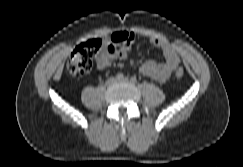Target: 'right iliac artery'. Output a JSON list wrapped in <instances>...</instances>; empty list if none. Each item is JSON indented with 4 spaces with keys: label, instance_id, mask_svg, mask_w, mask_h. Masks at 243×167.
<instances>
[{
    "label": "right iliac artery",
    "instance_id": "right-iliac-artery-1",
    "mask_svg": "<svg viewBox=\"0 0 243 167\" xmlns=\"http://www.w3.org/2000/svg\"><path fill=\"white\" fill-rule=\"evenodd\" d=\"M116 78L119 79V80H121V79L124 78V76H123L122 73H118V74L116 75Z\"/></svg>",
    "mask_w": 243,
    "mask_h": 167
}]
</instances>
